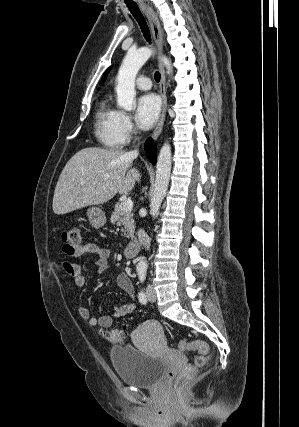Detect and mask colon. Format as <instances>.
Listing matches in <instances>:
<instances>
[{
    "label": "colon",
    "mask_w": 299,
    "mask_h": 427,
    "mask_svg": "<svg viewBox=\"0 0 299 427\" xmlns=\"http://www.w3.org/2000/svg\"><path fill=\"white\" fill-rule=\"evenodd\" d=\"M62 240L70 245H78L81 240L80 227L72 226L63 231ZM100 336L112 342L122 343L126 338V333L121 329H109L101 330ZM178 349L182 352H198L194 359V364L184 365L176 375L174 388L178 392H184L193 380L197 369L203 368L208 363L210 349L205 342L189 341L187 339H183L179 342Z\"/></svg>",
    "instance_id": "obj_1"
}]
</instances>
